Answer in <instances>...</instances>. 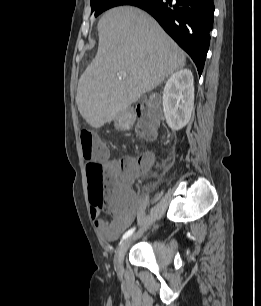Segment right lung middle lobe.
<instances>
[{"mask_svg":"<svg viewBox=\"0 0 261 306\" xmlns=\"http://www.w3.org/2000/svg\"><path fill=\"white\" fill-rule=\"evenodd\" d=\"M136 0H91V10L95 13V16H98L105 10L119 6V5H127L132 4Z\"/></svg>","mask_w":261,"mask_h":306,"instance_id":"obj_1","label":"right lung middle lobe"}]
</instances>
